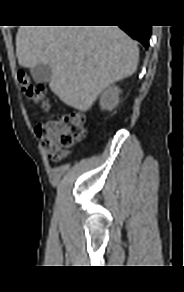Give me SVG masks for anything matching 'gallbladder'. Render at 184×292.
Wrapping results in <instances>:
<instances>
[{
	"label": "gallbladder",
	"mask_w": 184,
	"mask_h": 292,
	"mask_svg": "<svg viewBox=\"0 0 184 292\" xmlns=\"http://www.w3.org/2000/svg\"><path fill=\"white\" fill-rule=\"evenodd\" d=\"M30 74L36 83H47L52 77V69L47 64H38L30 69Z\"/></svg>",
	"instance_id": "obj_1"
}]
</instances>
